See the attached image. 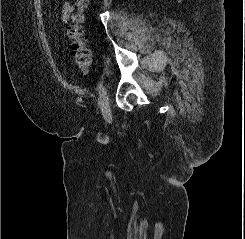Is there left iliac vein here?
Instances as JSON below:
<instances>
[{
	"mask_svg": "<svg viewBox=\"0 0 245 239\" xmlns=\"http://www.w3.org/2000/svg\"><path fill=\"white\" fill-rule=\"evenodd\" d=\"M101 96H102L103 110L107 114L110 111V106H109V102H108V99H107V91H106L105 87H103V89H102Z\"/></svg>",
	"mask_w": 245,
	"mask_h": 239,
	"instance_id": "left-iliac-vein-1",
	"label": "left iliac vein"
}]
</instances>
